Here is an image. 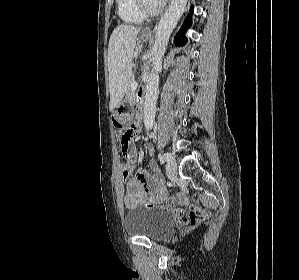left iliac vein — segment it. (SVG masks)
Wrapping results in <instances>:
<instances>
[{"mask_svg":"<svg viewBox=\"0 0 299 280\" xmlns=\"http://www.w3.org/2000/svg\"><path fill=\"white\" fill-rule=\"evenodd\" d=\"M166 172L169 177H174L177 173V164L175 162L174 157L169 160L166 164Z\"/></svg>","mask_w":299,"mask_h":280,"instance_id":"left-iliac-vein-1","label":"left iliac vein"}]
</instances>
